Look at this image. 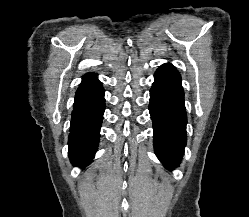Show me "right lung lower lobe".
I'll return each mask as SVG.
<instances>
[{
	"label": "right lung lower lobe",
	"instance_id": "1",
	"mask_svg": "<svg viewBox=\"0 0 249 217\" xmlns=\"http://www.w3.org/2000/svg\"><path fill=\"white\" fill-rule=\"evenodd\" d=\"M105 110L104 89L96 74L83 76L73 106L69 157L73 165L85 166L93 159Z\"/></svg>",
	"mask_w": 249,
	"mask_h": 217
}]
</instances>
